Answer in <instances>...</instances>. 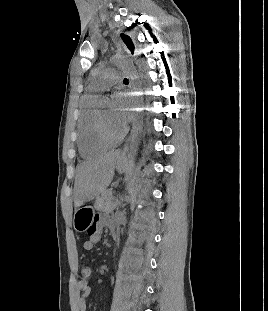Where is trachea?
<instances>
[{"label":"trachea","instance_id":"obj_1","mask_svg":"<svg viewBox=\"0 0 268 311\" xmlns=\"http://www.w3.org/2000/svg\"><path fill=\"white\" fill-rule=\"evenodd\" d=\"M124 82H128V79L125 78V79H124Z\"/></svg>","mask_w":268,"mask_h":311}]
</instances>
